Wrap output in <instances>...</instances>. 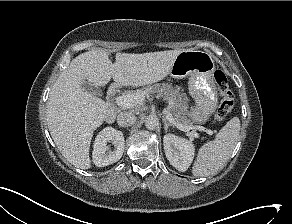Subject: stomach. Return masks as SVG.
I'll return each instance as SVG.
<instances>
[{"label": "stomach", "instance_id": "0dacf381", "mask_svg": "<svg viewBox=\"0 0 292 224\" xmlns=\"http://www.w3.org/2000/svg\"><path fill=\"white\" fill-rule=\"evenodd\" d=\"M215 70L213 56L196 50L181 51L171 67L173 78H188L189 93L195 100L188 115L194 122H206L217 106Z\"/></svg>", "mask_w": 292, "mask_h": 224}]
</instances>
